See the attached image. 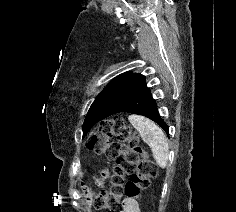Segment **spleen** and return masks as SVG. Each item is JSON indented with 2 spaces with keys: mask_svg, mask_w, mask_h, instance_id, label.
Returning a JSON list of instances; mask_svg holds the SVG:
<instances>
[{
  "mask_svg": "<svg viewBox=\"0 0 236 212\" xmlns=\"http://www.w3.org/2000/svg\"><path fill=\"white\" fill-rule=\"evenodd\" d=\"M128 120L139 132L142 140L151 148L156 163L161 168H165L168 162L169 146L161 128L141 115H130Z\"/></svg>",
  "mask_w": 236,
  "mask_h": 212,
  "instance_id": "spleen-1",
  "label": "spleen"
}]
</instances>
